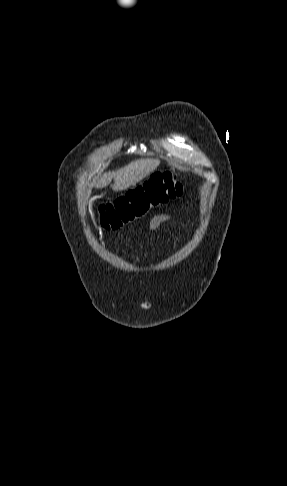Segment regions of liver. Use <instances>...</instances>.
Wrapping results in <instances>:
<instances>
[{
	"label": "liver",
	"mask_w": 287,
	"mask_h": 486,
	"mask_svg": "<svg viewBox=\"0 0 287 486\" xmlns=\"http://www.w3.org/2000/svg\"><path fill=\"white\" fill-rule=\"evenodd\" d=\"M160 164V160L146 158L135 160L115 172L104 173L97 181V188L108 186L114 179L113 190L123 191L130 186L136 185L147 175L153 172Z\"/></svg>",
	"instance_id": "6515ba94"
}]
</instances>
